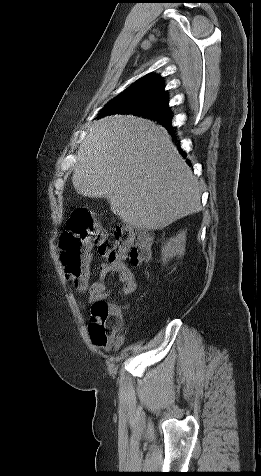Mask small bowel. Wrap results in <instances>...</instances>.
<instances>
[{"instance_id":"obj_1","label":"small bowel","mask_w":261,"mask_h":476,"mask_svg":"<svg viewBox=\"0 0 261 476\" xmlns=\"http://www.w3.org/2000/svg\"><path fill=\"white\" fill-rule=\"evenodd\" d=\"M110 276H116L120 283L116 290L118 293L127 295L135 292L137 289L136 276L130 267L122 260H109L99 266L98 279L86 288L87 298L92 306L98 302L105 301L108 296L115 292L106 285V280ZM113 308L118 317L121 318V310L117 307Z\"/></svg>"}]
</instances>
